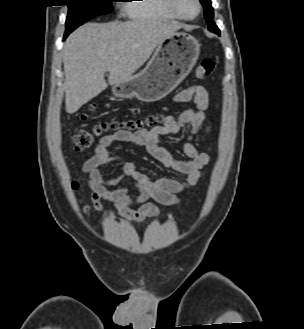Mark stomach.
I'll return each mask as SVG.
<instances>
[{"label": "stomach", "instance_id": "0dacf381", "mask_svg": "<svg viewBox=\"0 0 304 329\" xmlns=\"http://www.w3.org/2000/svg\"><path fill=\"white\" fill-rule=\"evenodd\" d=\"M200 53L198 40L185 32H175L159 43L146 67L127 81L115 84L119 98L136 97L143 102L161 100L190 73Z\"/></svg>", "mask_w": 304, "mask_h": 329}]
</instances>
